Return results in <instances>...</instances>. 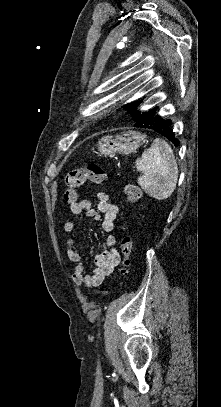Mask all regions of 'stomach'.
Instances as JSON below:
<instances>
[{
  "mask_svg": "<svg viewBox=\"0 0 221 407\" xmlns=\"http://www.w3.org/2000/svg\"><path fill=\"white\" fill-rule=\"evenodd\" d=\"M147 143V135L136 131H128L115 137L109 135L102 137L98 142V151L101 155H109L110 157L115 153L128 155Z\"/></svg>",
  "mask_w": 221,
  "mask_h": 407,
  "instance_id": "1",
  "label": "stomach"
}]
</instances>
